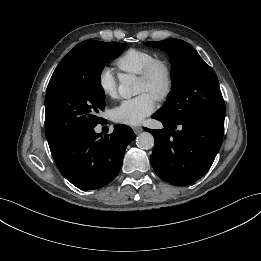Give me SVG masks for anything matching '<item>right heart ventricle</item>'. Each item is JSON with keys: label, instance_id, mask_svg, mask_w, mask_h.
<instances>
[{"label": "right heart ventricle", "instance_id": "e07e8e85", "mask_svg": "<svg viewBox=\"0 0 261 261\" xmlns=\"http://www.w3.org/2000/svg\"><path fill=\"white\" fill-rule=\"evenodd\" d=\"M155 58L149 50L130 48L115 60V65L123 73L139 75Z\"/></svg>", "mask_w": 261, "mask_h": 261}]
</instances>
